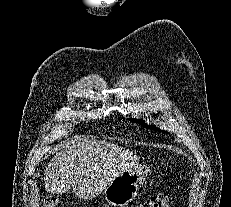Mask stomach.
<instances>
[{
	"mask_svg": "<svg viewBox=\"0 0 231 207\" xmlns=\"http://www.w3.org/2000/svg\"><path fill=\"white\" fill-rule=\"evenodd\" d=\"M146 175V172L139 168L124 170L103 190L105 200L114 207H125L137 196Z\"/></svg>",
	"mask_w": 231,
	"mask_h": 207,
	"instance_id": "stomach-1",
	"label": "stomach"
}]
</instances>
